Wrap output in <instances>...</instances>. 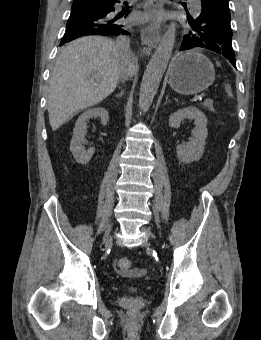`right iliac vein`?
Returning <instances> with one entry per match:
<instances>
[{"label": "right iliac vein", "instance_id": "63e3f726", "mask_svg": "<svg viewBox=\"0 0 261 340\" xmlns=\"http://www.w3.org/2000/svg\"><path fill=\"white\" fill-rule=\"evenodd\" d=\"M111 229H112V224L110 223V224L107 226V228H106V230H105V233H104V237H103V240H104V242H106V243H111V242H112V237H111V235H110Z\"/></svg>", "mask_w": 261, "mask_h": 340}]
</instances>
